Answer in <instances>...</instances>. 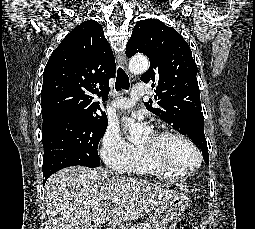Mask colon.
<instances>
[{
	"instance_id": "5ec220e1",
	"label": "colon",
	"mask_w": 255,
	"mask_h": 229,
	"mask_svg": "<svg viewBox=\"0 0 255 229\" xmlns=\"http://www.w3.org/2000/svg\"><path fill=\"white\" fill-rule=\"evenodd\" d=\"M172 229H193V227L189 221L182 219L177 221Z\"/></svg>"
}]
</instances>
